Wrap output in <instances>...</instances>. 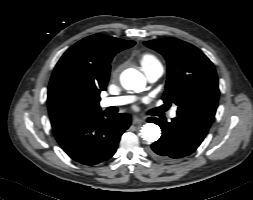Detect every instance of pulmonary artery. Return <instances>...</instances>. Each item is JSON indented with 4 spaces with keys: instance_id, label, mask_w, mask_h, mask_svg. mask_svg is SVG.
Segmentation results:
<instances>
[{
    "instance_id": "1",
    "label": "pulmonary artery",
    "mask_w": 253,
    "mask_h": 200,
    "mask_svg": "<svg viewBox=\"0 0 253 200\" xmlns=\"http://www.w3.org/2000/svg\"><path fill=\"white\" fill-rule=\"evenodd\" d=\"M143 72L145 73L147 79L150 82L157 81L163 74V67L160 63L142 67ZM134 100L133 96H117V97H107L103 98L100 101V106L102 108L121 106L128 103H131ZM177 115L176 108L172 109L169 113L171 118H175Z\"/></svg>"
}]
</instances>
